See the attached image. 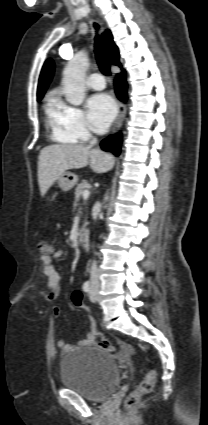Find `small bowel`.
Instances as JSON below:
<instances>
[{
    "label": "small bowel",
    "instance_id": "1",
    "mask_svg": "<svg viewBox=\"0 0 208 425\" xmlns=\"http://www.w3.org/2000/svg\"><path fill=\"white\" fill-rule=\"evenodd\" d=\"M62 255L63 252L61 250H57L53 253L52 256L42 255L40 258L41 262L43 263V273L47 278V299L49 301H54L57 299L61 291V277L56 267L52 264V257L60 258ZM60 312L61 310L58 306L53 307V313L55 316H59ZM91 343L92 340L90 335L79 341V345L81 346L90 345ZM56 344L64 352H68L73 348L72 344L67 343L62 338L57 339ZM121 348L123 350H127L128 346L122 343Z\"/></svg>",
    "mask_w": 208,
    "mask_h": 425
}]
</instances>
